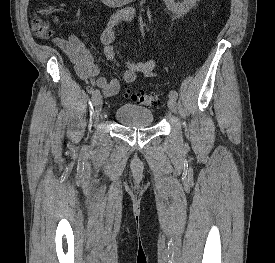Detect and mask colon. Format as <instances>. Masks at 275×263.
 <instances>
[{
    "label": "colon",
    "mask_w": 275,
    "mask_h": 263,
    "mask_svg": "<svg viewBox=\"0 0 275 263\" xmlns=\"http://www.w3.org/2000/svg\"><path fill=\"white\" fill-rule=\"evenodd\" d=\"M33 25L36 35L40 39H48L52 35V31L50 30L47 22L41 17H35L33 20ZM125 93L127 96L131 97L135 103L142 106L152 107L160 104V99L156 94L130 91H126Z\"/></svg>",
    "instance_id": "1"
}]
</instances>
